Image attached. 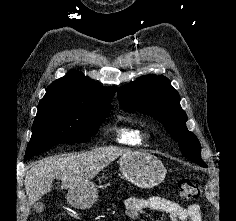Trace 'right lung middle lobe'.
Segmentation results:
<instances>
[{"label":"right lung middle lobe","instance_id":"1","mask_svg":"<svg viewBox=\"0 0 236 221\" xmlns=\"http://www.w3.org/2000/svg\"><path fill=\"white\" fill-rule=\"evenodd\" d=\"M109 112L110 104H39L24 158L29 159L57 144L90 141Z\"/></svg>","mask_w":236,"mask_h":221}]
</instances>
